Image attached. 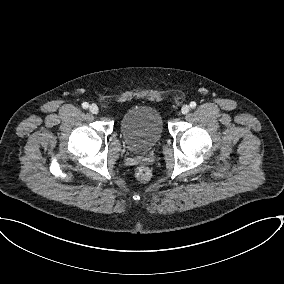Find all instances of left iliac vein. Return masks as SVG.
Here are the masks:
<instances>
[{"label": "left iliac vein", "instance_id": "1", "mask_svg": "<svg viewBox=\"0 0 284 284\" xmlns=\"http://www.w3.org/2000/svg\"><path fill=\"white\" fill-rule=\"evenodd\" d=\"M190 111L189 105H183L181 108L182 114H187Z\"/></svg>", "mask_w": 284, "mask_h": 284}]
</instances>
